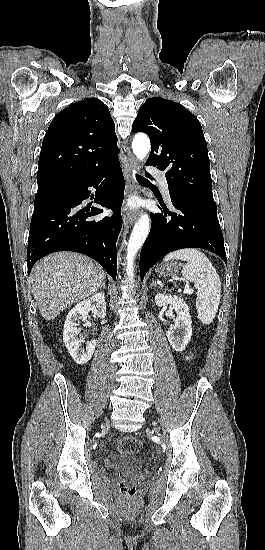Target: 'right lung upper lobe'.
Wrapping results in <instances>:
<instances>
[{
    "instance_id": "right-lung-upper-lobe-1",
    "label": "right lung upper lobe",
    "mask_w": 265,
    "mask_h": 550,
    "mask_svg": "<svg viewBox=\"0 0 265 550\" xmlns=\"http://www.w3.org/2000/svg\"><path fill=\"white\" fill-rule=\"evenodd\" d=\"M115 124L96 98L71 104L52 120L38 162V187L64 186L118 163Z\"/></svg>"
}]
</instances>
